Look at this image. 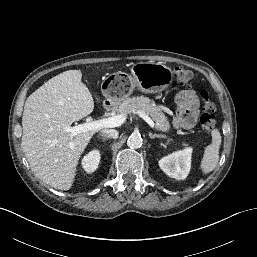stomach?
<instances>
[{
  "instance_id": "stomach-1",
  "label": "stomach",
  "mask_w": 257,
  "mask_h": 257,
  "mask_svg": "<svg viewBox=\"0 0 257 257\" xmlns=\"http://www.w3.org/2000/svg\"><path fill=\"white\" fill-rule=\"evenodd\" d=\"M131 74H115L106 78L101 91L104 105L116 107L126 99L137 86L143 93H158L172 82L173 73L168 66L157 62H138L131 66Z\"/></svg>"
}]
</instances>
